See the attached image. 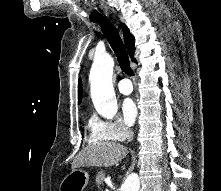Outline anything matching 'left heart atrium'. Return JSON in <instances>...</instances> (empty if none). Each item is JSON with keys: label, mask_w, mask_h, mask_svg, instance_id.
I'll list each match as a JSON object with an SVG mask.
<instances>
[{"label": "left heart atrium", "mask_w": 221, "mask_h": 191, "mask_svg": "<svg viewBox=\"0 0 221 191\" xmlns=\"http://www.w3.org/2000/svg\"><path fill=\"white\" fill-rule=\"evenodd\" d=\"M122 114L127 124L132 125L137 117V106L132 98H126L122 102Z\"/></svg>", "instance_id": "left-heart-atrium-1"}]
</instances>
